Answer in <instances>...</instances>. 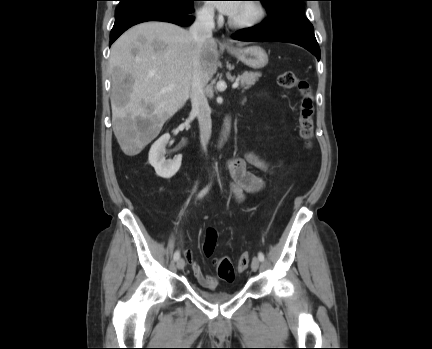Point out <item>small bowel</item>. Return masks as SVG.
Segmentation results:
<instances>
[{"mask_svg":"<svg viewBox=\"0 0 432 349\" xmlns=\"http://www.w3.org/2000/svg\"><path fill=\"white\" fill-rule=\"evenodd\" d=\"M247 165H252L266 172L272 171L271 165L253 152H247L243 157L228 160L227 169L232 178L231 189L239 202L243 201L245 193H259L265 186L263 179L250 172ZM185 256L191 265L195 278L202 287L212 289L218 286V278L204 274L200 265L193 260V253L190 250L185 251Z\"/></svg>","mask_w":432,"mask_h":349,"instance_id":"1","label":"small bowel"}]
</instances>
